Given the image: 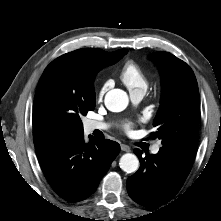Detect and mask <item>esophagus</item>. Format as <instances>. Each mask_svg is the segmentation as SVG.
Returning <instances> with one entry per match:
<instances>
[{
	"label": "esophagus",
	"instance_id": "esophagus-1",
	"mask_svg": "<svg viewBox=\"0 0 221 221\" xmlns=\"http://www.w3.org/2000/svg\"><path fill=\"white\" fill-rule=\"evenodd\" d=\"M121 150L124 152H130L131 148L126 144H121Z\"/></svg>",
	"mask_w": 221,
	"mask_h": 221
}]
</instances>
